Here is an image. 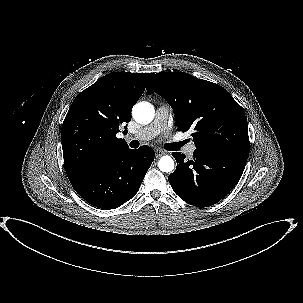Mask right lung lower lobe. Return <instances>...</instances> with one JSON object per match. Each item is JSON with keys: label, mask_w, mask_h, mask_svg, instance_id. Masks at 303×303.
<instances>
[{"label": "right lung lower lobe", "mask_w": 303, "mask_h": 303, "mask_svg": "<svg viewBox=\"0 0 303 303\" xmlns=\"http://www.w3.org/2000/svg\"><path fill=\"white\" fill-rule=\"evenodd\" d=\"M153 160L154 151L150 147L129 149L70 182L91 205L115 209L135 196Z\"/></svg>", "instance_id": "98d812e1"}]
</instances>
